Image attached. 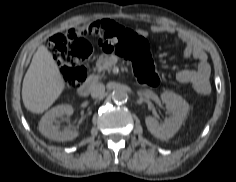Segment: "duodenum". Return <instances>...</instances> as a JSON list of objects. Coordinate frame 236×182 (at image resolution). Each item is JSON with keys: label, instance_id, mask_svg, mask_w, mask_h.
Instances as JSON below:
<instances>
[{"label": "duodenum", "instance_id": "obj_1", "mask_svg": "<svg viewBox=\"0 0 236 182\" xmlns=\"http://www.w3.org/2000/svg\"><path fill=\"white\" fill-rule=\"evenodd\" d=\"M96 83V77L91 78L78 88V94L82 97L89 95L91 88Z\"/></svg>", "mask_w": 236, "mask_h": 182}]
</instances>
